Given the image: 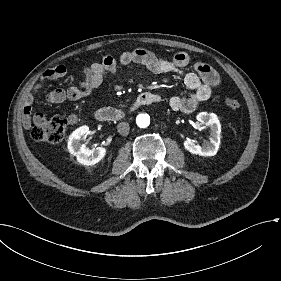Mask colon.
Segmentation results:
<instances>
[{
  "instance_id": "obj_1",
  "label": "colon",
  "mask_w": 281,
  "mask_h": 281,
  "mask_svg": "<svg viewBox=\"0 0 281 281\" xmlns=\"http://www.w3.org/2000/svg\"><path fill=\"white\" fill-rule=\"evenodd\" d=\"M225 104L231 109L240 106L239 100L233 97L225 99ZM69 120L65 116H54L30 126V135L37 141L58 143L65 137Z\"/></svg>"
}]
</instances>
